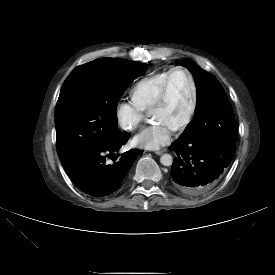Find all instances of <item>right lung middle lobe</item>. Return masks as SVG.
Listing matches in <instances>:
<instances>
[{"label": "right lung middle lobe", "instance_id": "1", "mask_svg": "<svg viewBox=\"0 0 275 275\" xmlns=\"http://www.w3.org/2000/svg\"><path fill=\"white\" fill-rule=\"evenodd\" d=\"M148 65L121 58H100L76 67L57 101L55 125L60 158L95 147L120 134L116 107L124 90Z\"/></svg>", "mask_w": 275, "mask_h": 275}]
</instances>
